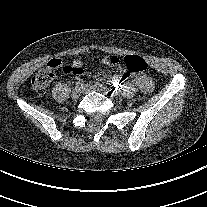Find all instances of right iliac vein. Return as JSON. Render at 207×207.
<instances>
[{"instance_id":"63e3f726","label":"right iliac vein","mask_w":207,"mask_h":207,"mask_svg":"<svg viewBox=\"0 0 207 207\" xmlns=\"http://www.w3.org/2000/svg\"><path fill=\"white\" fill-rule=\"evenodd\" d=\"M80 95H81V89L79 87H75L71 93L72 98L77 99L80 97Z\"/></svg>"}]
</instances>
